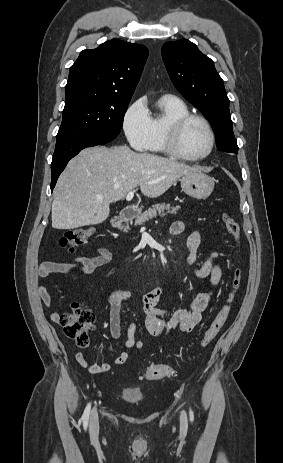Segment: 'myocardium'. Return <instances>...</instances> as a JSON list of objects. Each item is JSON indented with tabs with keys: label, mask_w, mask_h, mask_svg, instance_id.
<instances>
[{
	"label": "myocardium",
	"mask_w": 283,
	"mask_h": 463,
	"mask_svg": "<svg viewBox=\"0 0 283 463\" xmlns=\"http://www.w3.org/2000/svg\"><path fill=\"white\" fill-rule=\"evenodd\" d=\"M194 120L200 121L204 124V126L206 127L208 131L209 137H210V144H209L208 150L203 155L197 156V157H190V156L185 155L181 151L180 146H179V141H180L181 133L183 129L185 128V126ZM215 142H216L215 132L209 120L205 118L204 116L195 114V113H188V114H185L183 116H180L174 119L168 124L166 128V132H165V146H166L167 152L171 156L179 160L185 161V162L195 163V162H200L202 160L207 159L212 154L215 148Z\"/></svg>",
	"instance_id": "myocardium-1"
}]
</instances>
